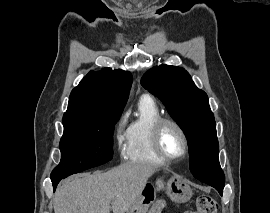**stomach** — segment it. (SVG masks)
<instances>
[{"mask_svg": "<svg viewBox=\"0 0 270 213\" xmlns=\"http://www.w3.org/2000/svg\"><path fill=\"white\" fill-rule=\"evenodd\" d=\"M163 190L167 196L176 203H185L192 197V189L188 183L179 176L159 169L154 184H147L139 198L134 202L127 213H147L155 200L156 191Z\"/></svg>", "mask_w": 270, "mask_h": 213, "instance_id": "0dacf381", "label": "stomach"}]
</instances>
